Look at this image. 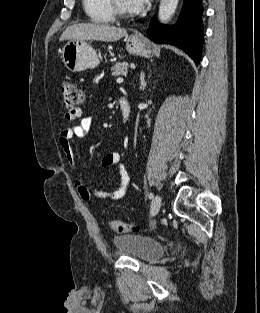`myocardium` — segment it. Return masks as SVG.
<instances>
[{
  "mask_svg": "<svg viewBox=\"0 0 260 313\" xmlns=\"http://www.w3.org/2000/svg\"><path fill=\"white\" fill-rule=\"evenodd\" d=\"M108 4L110 7V10L114 17L120 18V19H128L132 16L131 13H127L123 11L117 4V0H108Z\"/></svg>",
  "mask_w": 260,
  "mask_h": 313,
  "instance_id": "obj_1",
  "label": "myocardium"
}]
</instances>
